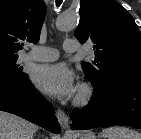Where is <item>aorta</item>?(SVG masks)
Segmentation results:
<instances>
[{"mask_svg":"<svg viewBox=\"0 0 141 139\" xmlns=\"http://www.w3.org/2000/svg\"><path fill=\"white\" fill-rule=\"evenodd\" d=\"M79 18L76 13H64L56 21V28L60 31H69L76 27Z\"/></svg>","mask_w":141,"mask_h":139,"instance_id":"1","label":"aorta"}]
</instances>
